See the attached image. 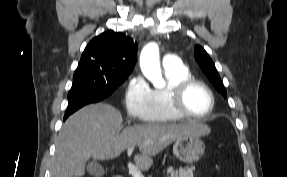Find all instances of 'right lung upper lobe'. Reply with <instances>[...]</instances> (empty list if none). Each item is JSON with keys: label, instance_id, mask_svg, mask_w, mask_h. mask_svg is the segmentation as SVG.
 <instances>
[{"label": "right lung upper lobe", "instance_id": "1", "mask_svg": "<svg viewBox=\"0 0 287 177\" xmlns=\"http://www.w3.org/2000/svg\"><path fill=\"white\" fill-rule=\"evenodd\" d=\"M137 49L132 38L107 31L89 42L78 68L98 72L107 80L128 77L136 63Z\"/></svg>", "mask_w": 287, "mask_h": 177}]
</instances>
